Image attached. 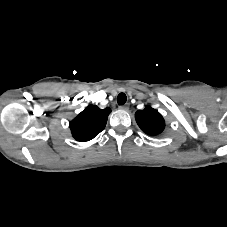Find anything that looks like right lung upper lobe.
Segmentation results:
<instances>
[{
    "label": "right lung upper lobe",
    "mask_w": 227,
    "mask_h": 227,
    "mask_svg": "<svg viewBox=\"0 0 227 227\" xmlns=\"http://www.w3.org/2000/svg\"><path fill=\"white\" fill-rule=\"evenodd\" d=\"M111 109H100L96 105H89L70 122L73 137L85 142L96 137L104 130Z\"/></svg>",
    "instance_id": "1"
}]
</instances>
